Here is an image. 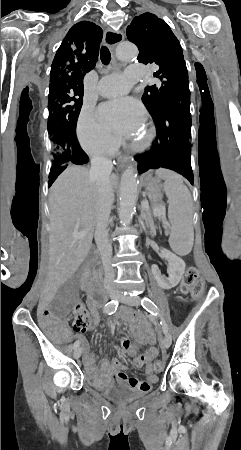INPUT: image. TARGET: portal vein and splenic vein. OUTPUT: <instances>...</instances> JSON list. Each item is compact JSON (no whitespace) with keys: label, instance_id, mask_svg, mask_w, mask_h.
<instances>
[{"label":"portal vein and splenic vein","instance_id":"obj_1","mask_svg":"<svg viewBox=\"0 0 241 450\" xmlns=\"http://www.w3.org/2000/svg\"><path fill=\"white\" fill-rule=\"evenodd\" d=\"M147 207H149L148 202H143V204L141 205L142 213L149 212V209ZM164 208H165L164 204H155V208L153 209V212L162 214L165 211ZM72 236H73V238H78V240H79V238H86L87 230H83V232H73Z\"/></svg>","mask_w":241,"mask_h":450}]
</instances>
